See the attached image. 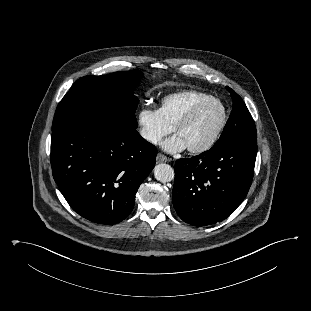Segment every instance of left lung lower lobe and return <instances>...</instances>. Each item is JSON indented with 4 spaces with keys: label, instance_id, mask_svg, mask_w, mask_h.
I'll return each instance as SVG.
<instances>
[{
    "label": "left lung lower lobe",
    "instance_id": "0a47b994",
    "mask_svg": "<svg viewBox=\"0 0 311 311\" xmlns=\"http://www.w3.org/2000/svg\"><path fill=\"white\" fill-rule=\"evenodd\" d=\"M256 153V141H237L177 160L172 200L178 216L205 226L232 214L251 186Z\"/></svg>",
    "mask_w": 311,
    "mask_h": 311
}]
</instances>
